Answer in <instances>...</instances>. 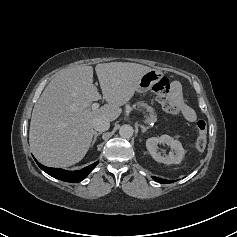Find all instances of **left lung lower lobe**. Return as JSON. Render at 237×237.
Listing matches in <instances>:
<instances>
[{
    "label": "left lung lower lobe",
    "mask_w": 237,
    "mask_h": 237,
    "mask_svg": "<svg viewBox=\"0 0 237 237\" xmlns=\"http://www.w3.org/2000/svg\"><path fill=\"white\" fill-rule=\"evenodd\" d=\"M153 179H155L159 183H172L173 182L171 180H165V179H161V178H158V177H153Z\"/></svg>",
    "instance_id": "left-lung-lower-lobe-1"
}]
</instances>
